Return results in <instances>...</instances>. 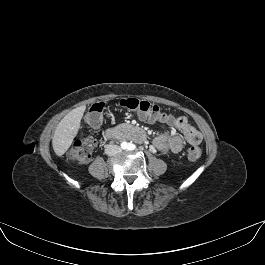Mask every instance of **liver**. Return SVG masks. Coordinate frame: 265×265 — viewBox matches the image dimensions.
<instances>
[{
	"label": "liver",
	"instance_id": "obj_1",
	"mask_svg": "<svg viewBox=\"0 0 265 265\" xmlns=\"http://www.w3.org/2000/svg\"><path fill=\"white\" fill-rule=\"evenodd\" d=\"M84 111V106L73 109L58 123L52 138V146L57 156H62L71 146L80 128Z\"/></svg>",
	"mask_w": 265,
	"mask_h": 265
}]
</instances>
